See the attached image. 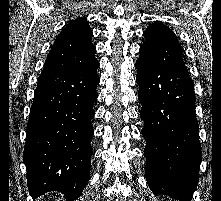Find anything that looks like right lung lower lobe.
<instances>
[{
    "instance_id": "1",
    "label": "right lung lower lobe",
    "mask_w": 221,
    "mask_h": 201,
    "mask_svg": "<svg viewBox=\"0 0 221 201\" xmlns=\"http://www.w3.org/2000/svg\"><path fill=\"white\" fill-rule=\"evenodd\" d=\"M99 64L76 71L43 70L30 109L23 161L33 199L50 191L78 199L88 182Z\"/></svg>"
}]
</instances>
